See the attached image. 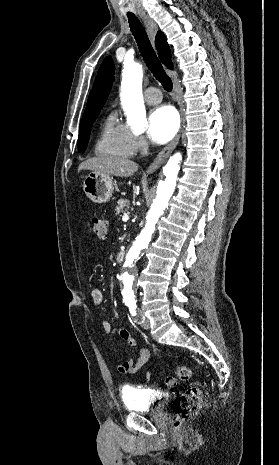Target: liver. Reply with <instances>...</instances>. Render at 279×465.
<instances>
[{
  "mask_svg": "<svg viewBox=\"0 0 279 465\" xmlns=\"http://www.w3.org/2000/svg\"><path fill=\"white\" fill-rule=\"evenodd\" d=\"M91 170L103 175L117 177H130L138 170V164L122 157L99 156L82 162L78 171Z\"/></svg>",
  "mask_w": 279,
  "mask_h": 465,
  "instance_id": "liver-1",
  "label": "liver"
}]
</instances>
